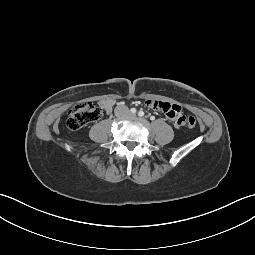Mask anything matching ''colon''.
Segmentation results:
<instances>
[{"label": "colon", "mask_w": 255, "mask_h": 255, "mask_svg": "<svg viewBox=\"0 0 255 255\" xmlns=\"http://www.w3.org/2000/svg\"><path fill=\"white\" fill-rule=\"evenodd\" d=\"M185 115V114H184ZM102 116V110L91 102H85L74 106L68 113L67 126L71 130H79L91 122H95ZM185 125L192 128L196 125L193 116H186Z\"/></svg>", "instance_id": "obj_1"}]
</instances>
